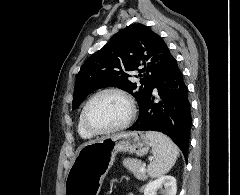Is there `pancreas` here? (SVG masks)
I'll return each mask as SVG.
<instances>
[{"instance_id":"cf45deb5","label":"pancreas","mask_w":240,"mask_h":195,"mask_svg":"<svg viewBox=\"0 0 240 195\" xmlns=\"http://www.w3.org/2000/svg\"><path fill=\"white\" fill-rule=\"evenodd\" d=\"M123 165H125L129 171H133L137 179H143V181L144 179H147L148 175H146L145 171H140V159H132V157H127V159H123Z\"/></svg>"}]
</instances>
